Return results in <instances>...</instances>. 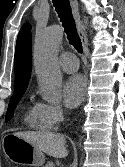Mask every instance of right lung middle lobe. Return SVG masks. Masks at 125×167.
<instances>
[{
  "label": "right lung middle lobe",
  "instance_id": "dd1d6c3e",
  "mask_svg": "<svg viewBox=\"0 0 125 167\" xmlns=\"http://www.w3.org/2000/svg\"><path fill=\"white\" fill-rule=\"evenodd\" d=\"M25 90L26 89H19V90L14 91V94L12 95L10 102H9V105H8V110L6 113L5 122H8L13 117L14 110H15L19 100L23 96Z\"/></svg>",
  "mask_w": 125,
  "mask_h": 167
}]
</instances>
